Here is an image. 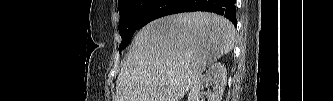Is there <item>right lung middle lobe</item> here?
<instances>
[{"instance_id":"obj_1","label":"right lung middle lobe","mask_w":333,"mask_h":101,"mask_svg":"<svg viewBox=\"0 0 333 101\" xmlns=\"http://www.w3.org/2000/svg\"><path fill=\"white\" fill-rule=\"evenodd\" d=\"M155 0H120L118 9L120 13L119 33L122 42L119 53L129 44L136 30L140 29V22L148 8Z\"/></svg>"}]
</instances>
